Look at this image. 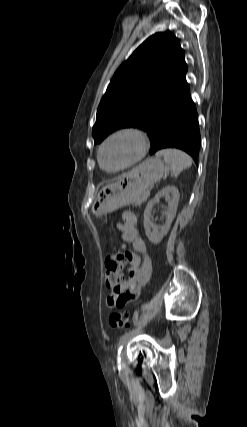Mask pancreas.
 I'll return each mask as SVG.
<instances>
[{
    "label": "pancreas",
    "instance_id": "pancreas-1",
    "mask_svg": "<svg viewBox=\"0 0 247 427\" xmlns=\"http://www.w3.org/2000/svg\"><path fill=\"white\" fill-rule=\"evenodd\" d=\"M147 197H148V192L144 193L142 197L135 203V205H141L143 202L146 201Z\"/></svg>",
    "mask_w": 247,
    "mask_h": 427
}]
</instances>
